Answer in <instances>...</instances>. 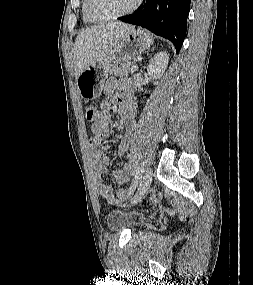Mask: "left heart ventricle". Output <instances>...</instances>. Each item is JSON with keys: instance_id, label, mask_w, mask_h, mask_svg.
<instances>
[{"instance_id": "obj_1", "label": "left heart ventricle", "mask_w": 253, "mask_h": 285, "mask_svg": "<svg viewBox=\"0 0 253 285\" xmlns=\"http://www.w3.org/2000/svg\"><path fill=\"white\" fill-rule=\"evenodd\" d=\"M135 0H92L93 10L101 16L114 15L127 10Z\"/></svg>"}]
</instances>
